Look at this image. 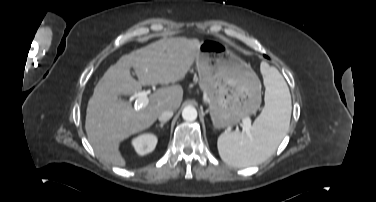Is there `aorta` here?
<instances>
[{"instance_id":"762f6f07","label":"aorta","mask_w":376,"mask_h":202,"mask_svg":"<svg viewBox=\"0 0 376 202\" xmlns=\"http://www.w3.org/2000/svg\"><path fill=\"white\" fill-rule=\"evenodd\" d=\"M182 117L186 121H194L197 118V110L193 106H186L182 111Z\"/></svg>"}]
</instances>
